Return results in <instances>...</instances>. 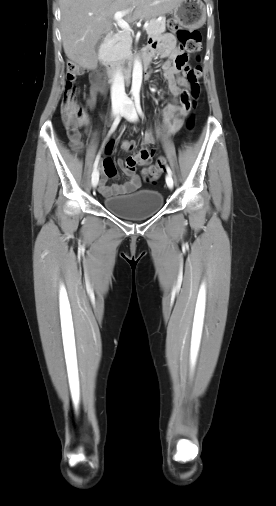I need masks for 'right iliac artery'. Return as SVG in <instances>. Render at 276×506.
<instances>
[{
    "mask_svg": "<svg viewBox=\"0 0 276 506\" xmlns=\"http://www.w3.org/2000/svg\"><path fill=\"white\" fill-rule=\"evenodd\" d=\"M121 117H122V114L116 117V119L114 120V122L112 124V127H111V129L109 131V135L116 129V127L118 126V124H119V122L121 120ZM99 159H100V153L97 155L96 160L94 162V170H93L92 176L96 175ZM97 177H98V180H99V173L97 174Z\"/></svg>",
    "mask_w": 276,
    "mask_h": 506,
    "instance_id": "right-iliac-artery-1",
    "label": "right iliac artery"
}]
</instances>
